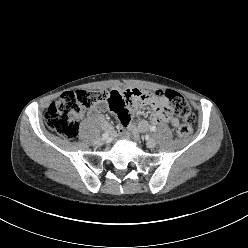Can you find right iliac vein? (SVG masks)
Listing matches in <instances>:
<instances>
[{"instance_id": "right-iliac-vein-1", "label": "right iliac vein", "mask_w": 248, "mask_h": 248, "mask_svg": "<svg viewBox=\"0 0 248 248\" xmlns=\"http://www.w3.org/2000/svg\"><path fill=\"white\" fill-rule=\"evenodd\" d=\"M103 143H104V139H102V138H97L94 141V144L97 145V146H101Z\"/></svg>"}]
</instances>
